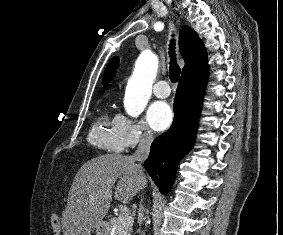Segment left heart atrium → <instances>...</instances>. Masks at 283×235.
<instances>
[{
  "mask_svg": "<svg viewBox=\"0 0 283 235\" xmlns=\"http://www.w3.org/2000/svg\"><path fill=\"white\" fill-rule=\"evenodd\" d=\"M146 118L153 130L163 131L171 125L173 112L166 102L157 101L149 106Z\"/></svg>",
  "mask_w": 283,
  "mask_h": 235,
  "instance_id": "1",
  "label": "left heart atrium"
}]
</instances>
